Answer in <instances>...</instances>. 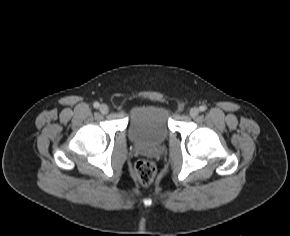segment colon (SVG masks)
<instances>
[{"label": "colon", "instance_id": "5ec220e1", "mask_svg": "<svg viewBox=\"0 0 290 236\" xmlns=\"http://www.w3.org/2000/svg\"><path fill=\"white\" fill-rule=\"evenodd\" d=\"M134 174L136 179L142 184L151 183L156 175L155 164L146 159H142L136 162L134 167Z\"/></svg>", "mask_w": 290, "mask_h": 236}]
</instances>
